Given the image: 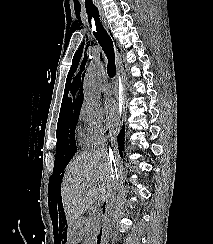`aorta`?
I'll return each mask as SVG.
<instances>
[{
	"label": "aorta",
	"instance_id": "762f6f07",
	"mask_svg": "<svg viewBox=\"0 0 213 244\" xmlns=\"http://www.w3.org/2000/svg\"><path fill=\"white\" fill-rule=\"evenodd\" d=\"M104 77V67L101 63L91 64L86 71L83 83L84 100L92 105L98 104L100 100V88Z\"/></svg>",
	"mask_w": 213,
	"mask_h": 244
}]
</instances>
